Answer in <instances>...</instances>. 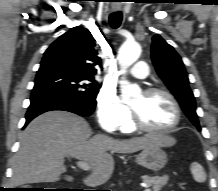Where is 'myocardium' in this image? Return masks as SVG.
Returning <instances> with one entry per match:
<instances>
[{"label": "myocardium", "instance_id": "1", "mask_svg": "<svg viewBox=\"0 0 218 191\" xmlns=\"http://www.w3.org/2000/svg\"><path fill=\"white\" fill-rule=\"evenodd\" d=\"M143 93L146 96H153V95L165 96L171 102L175 110V120L170 126L166 128H160V129L151 128V127L146 126L142 122L138 114L131 108V124H132L133 129L146 132V133H151V134H164V133H169L175 130L179 126L182 120V110L176 98L169 91L162 89V88H157V87L147 88L144 90Z\"/></svg>", "mask_w": 218, "mask_h": 191}]
</instances>
